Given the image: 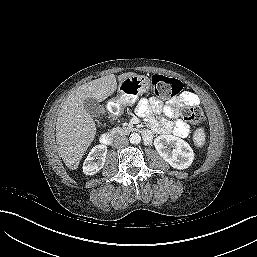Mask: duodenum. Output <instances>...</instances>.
<instances>
[{
    "instance_id": "1",
    "label": "duodenum",
    "mask_w": 257,
    "mask_h": 257,
    "mask_svg": "<svg viewBox=\"0 0 257 257\" xmlns=\"http://www.w3.org/2000/svg\"><path fill=\"white\" fill-rule=\"evenodd\" d=\"M140 133L146 140L150 139V133L146 130H141ZM100 143L104 146H109L112 143V137L109 133H103L100 137Z\"/></svg>"
}]
</instances>
